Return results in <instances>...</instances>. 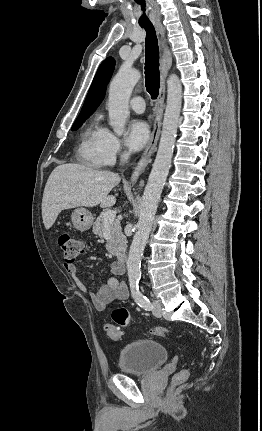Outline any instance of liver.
<instances>
[{
    "label": "liver",
    "instance_id": "obj_1",
    "mask_svg": "<svg viewBox=\"0 0 262 431\" xmlns=\"http://www.w3.org/2000/svg\"><path fill=\"white\" fill-rule=\"evenodd\" d=\"M120 176L110 171L95 170L84 165H58L50 174L42 199V218L50 229L59 213L76 207H111L116 198L109 192L120 182Z\"/></svg>",
    "mask_w": 262,
    "mask_h": 431
}]
</instances>
